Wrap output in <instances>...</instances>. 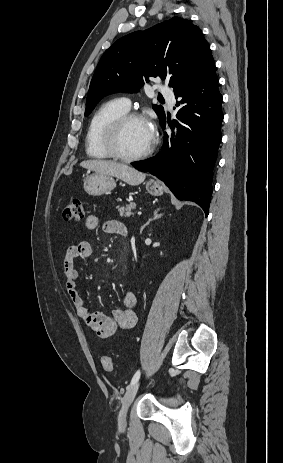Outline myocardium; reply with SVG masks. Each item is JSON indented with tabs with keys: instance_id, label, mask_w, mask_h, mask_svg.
<instances>
[{
	"instance_id": "1",
	"label": "myocardium",
	"mask_w": 283,
	"mask_h": 463,
	"mask_svg": "<svg viewBox=\"0 0 283 463\" xmlns=\"http://www.w3.org/2000/svg\"><path fill=\"white\" fill-rule=\"evenodd\" d=\"M132 120H140L149 125L152 131V140L150 145L143 152L136 155H125L123 154L117 146V141L119 134L123 127ZM157 134L156 131L150 122V120L143 114L139 112H126L118 117H116L105 129L103 134V146L110 157L123 161V162H135L143 160L150 156L156 146Z\"/></svg>"
}]
</instances>
